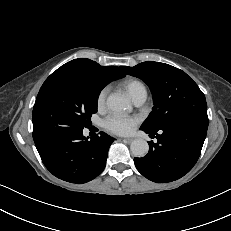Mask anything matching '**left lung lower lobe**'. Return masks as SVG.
Here are the masks:
<instances>
[{"label": "left lung lower lobe", "mask_w": 231, "mask_h": 231, "mask_svg": "<svg viewBox=\"0 0 231 231\" xmlns=\"http://www.w3.org/2000/svg\"><path fill=\"white\" fill-rule=\"evenodd\" d=\"M208 116H185L158 129L141 126L157 143H149V152L143 158H134L138 171L156 183L177 180L196 164L206 137Z\"/></svg>", "instance_id": "obj_1"}]
</instances>
